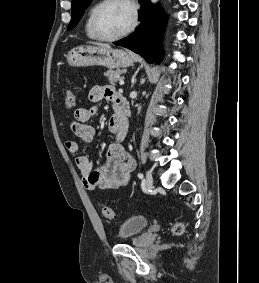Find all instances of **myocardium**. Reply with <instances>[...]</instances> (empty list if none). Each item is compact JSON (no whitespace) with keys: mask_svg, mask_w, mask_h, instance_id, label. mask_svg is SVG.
<instances>
[{"mask_svg":"<svg viewBox=\"0 0 259 283\" xmlns=\"http://www.w3.org/2000/svg\"><path fill=\"white\" fill-rule=\"evenodd\" d=\"M115 0H101L95 7L91 17V30L95 38L105 42H112L124 38L125 36L129 35L137 26L138 24V9L135 3L132 0H121L125 2L131 9L132 19L129 26L121 33L115 36H104L100 34L97 26V17L100 10L108 3L113 2Z\"/></svg>","mask_w":259,"mask_h":283,"instance_id":"myocardium-1","label":"myocardium"}]
</instances>
